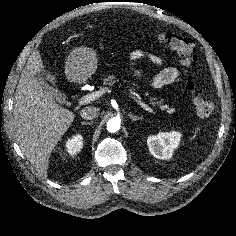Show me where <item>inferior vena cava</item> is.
Here are the masks:
<instances>
[{
	"label": "inferior vena cava",
	"mask_w": 236,
	"mask_h": 236,
	"mask_svg": "<svg viewBox=\"0 0 236 236\" xmlns=\"http://www.w3.org/2000/svg\"><path fill=\"white\" fill-rule=\"evenodd\" d=\"M99 108L94 106H87L80 111V115L85 120H92L99 115Z\"/></svg>",
	"instance_id": "obj_1"
}]
</instances>
